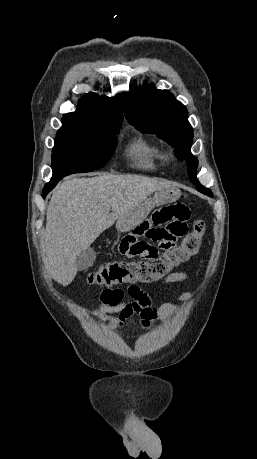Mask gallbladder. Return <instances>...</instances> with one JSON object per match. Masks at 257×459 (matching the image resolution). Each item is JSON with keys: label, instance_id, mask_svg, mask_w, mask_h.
Instances as JSON below:
<instances>
[{"label": "gallbladder", "instance_id": "gallbladder-1", "mask_svg": "<svg viewBox=\"0 0 257 459\" xmlns=\"http://www.w3.org/2000/svg\"><path fill=\"white\" fill-rule=\"evenodd\" d=\"M96 258V252L93 248H87L81 251L75 259L77 269L82 271L92 266Z\"/></svg>", "mask_w": 257, "mask_h": 459}]
</instances>
